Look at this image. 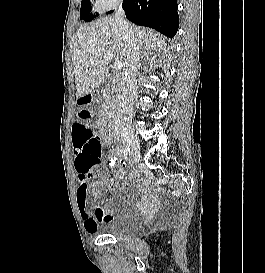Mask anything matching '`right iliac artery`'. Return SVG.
<instances>
[{
  "label": "right iliac artery",
  "mask_w": 265,
  "mask_h": 273,
  "mask_svg": "<svg viewBox=\"0 0 265 273\" xmlns=\"http://www.w3.org/2000/svg\"><path fill=\"white\" fill-rule=\"evenodd\" d=\"M130 152L129 148H118L116 153L119 157L127 158L128 153Z\"/></svg>",
  "instance_id": "right-iliac-artery-1"
}]
</instances>
